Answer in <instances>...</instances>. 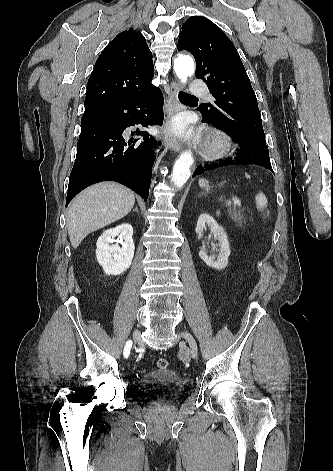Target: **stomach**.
I'll list each match as a JSON object with an SVG mask.
<instances>
[{"instance_id":"obj_1","label":"stomach","mask_w":333,"mask_h":471,"mask_svg":"<svg viewBox=\"0 0 333 471\" xmlns=\"http://www.w3.org/2000/svg\"><path fill=\"white\" fill-rule=\"evenodd\" d=\"M199 185H200L201 187H203V188H208V187H209V183H208V181L205 180V179H200V180H199Z\"/></svg>"}]
</instances>
